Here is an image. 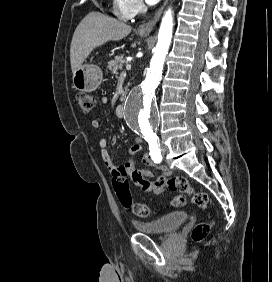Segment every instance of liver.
Returning <instances> with one entry per match:
<instances>
[{"mask_svg":"<svg viewBox=\"0 0 272 282\" xmlns=\"http://www.w3.org/2000/svg\"><path fill=\"white\" fill-rule=\"evenodd\" d=\"M132 28L122 21L99 12L86 15L77 26L70 46V62L73 74L80 68L91 51L108 41H119Z\"/></svg>","mask_w":272,"mask_h":282,"instance_id":"1","label":"liver"}]
</instances>
